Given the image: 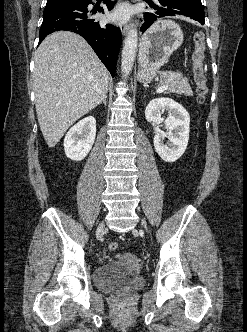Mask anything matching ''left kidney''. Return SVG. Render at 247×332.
Segmentation results:
<instances>
[{"label":"left kidney","instance_id":"1","mask_svg":"<svg viewBox=\"0 0 247 332\" xmlns=\"http://www.w3.org/2000/svg\"><path fill=\"white\" fill-rule=\"evenodd\" d=\"M167 111L168 116L164 120L161 113ZM148 122L159 124L164 121L168 133L156 132L153 142L158 155L165 162H175L186 150L189 131L190 116L186 109L170 98H156L149 102L145 110ZM168 137L170 142L165 143Z\"/></svg>","mask_w":247,"mask_h":332}]
</instances>
